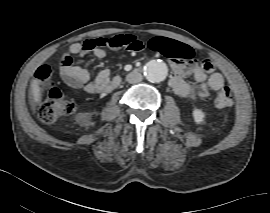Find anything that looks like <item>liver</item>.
I'll return each instance as SVG.
<instances>
[{"label": "liver", "mask_w": 270, "mask_h": 213, "mask_svg": "<svg viewBox=\"0 0 270 213\" xmlns=\"http://www.w3.org/2000/svg\"><path fill=\"white\" fill-rule=\"evenodd\" d=\"M39 80L37 79H34L31 83V88H32V94L34 96V101L36 103H39L40 102V99H41V92H40V88L38 87L39 85Z\"/></svg>", "instance_id": "liver-1"}]
</instances>
